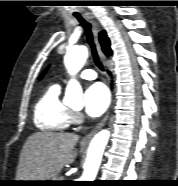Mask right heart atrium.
<instances>
[{"instance_id":"d8ad5b80","label":"right heart atrium","mask_w":178,"mask_h":186,"mask_svg":"<svg viewBox=\"0 0 178 186\" xmlns=\"http://www.w3.org/2000/svg\"><path fill=\"white\" fill-rule=\"evenodd\" d=\"M82 121V115L78 112H72V122L79 123Z\"/></svg>"}]
</instances>
